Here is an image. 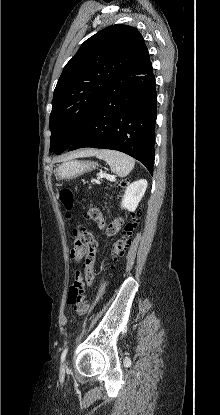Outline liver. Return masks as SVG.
Instances as JSON below:
<instances>
[{
    "instance_id": "1",
    "label": "liver",
    "mask_w": 220,
    "mask_h": 415,
    "mask_svg": "<svg viewBox=\"0 0 220 415\" xmlns=\"http://www.w3.org/2000/svg\"><path fill=\"white\" fill-rule=\"evenodd\" d=\"M94 154H95L94 150H87V151H82L78 153V155H81V156H92Z\"/></svg>"
}]
</instances>
